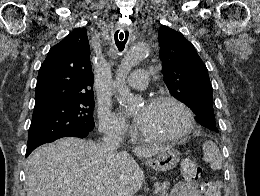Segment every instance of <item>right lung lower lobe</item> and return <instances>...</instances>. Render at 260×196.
Wrapping results in <instances>:
<instances>
[{
    "label": "right lung lower lobe",
    "mask_w": 260,
    "mask_h": 196,
    "mask_svg": "<svg viewBox=\"0 0 260 196\" xmlns=\"http://www.w3.org/2000/svg\"><path fill=\"white\" fill-rule=\"evenodd\" d=\"M89 134V132H84V133H77V134H74L70 137H78V138H84L86 137L87 135ZM34 149H27L26 151V157L33 151Z\"/></svg>",
    "instance_id": "98d812e1"
}]
</instances>
